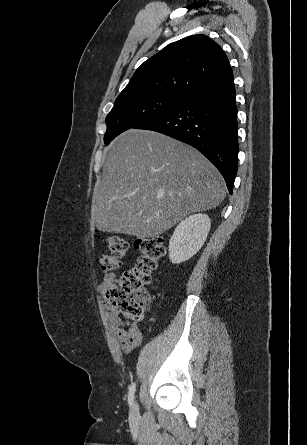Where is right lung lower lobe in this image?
<instances>
[{
	"label": "right lung lower lobe",
	"mask_w": 307,
	"mask_h": 445,
	"mask_svg": "<svg viewBox=\"0 0 307 445\" xmlns=\"http://www.w3.org/2000/svg\"><path fill=\"white\" fill-rule=\"evenodd\" d=\"M133 128L157 131L195 147L221 172L232 194L238 166L233 74Z\"/></svg>",
	"instance_id": "1"
}]
</instances>
